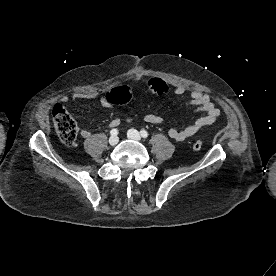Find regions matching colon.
<instances>
[{
    "mask_svg": "<svg viewBox=\"0 0 276 276\" xmlns=\"http://www.w3.org/2000/svg\"><path fill=\"white\" fill-rule=\"evenodd\" d=\"M150 86L157 91H163L167 87L166 83L160 79L151 80ZM131 98L132 91L127 88L114 89L108 93V101L113 105L126 103ZM51 114L55 131L60 140L66 145H73L78 135V126L75 120L60 103L53 106ZM192 148L194 151L201 150L202 142L195 141Z\"/></svg>",
    "mask_w": 276,
    "mask_h": 276,
    "instance_id": "5ec220e1",
    "label": "colon"
}]
</instances>
